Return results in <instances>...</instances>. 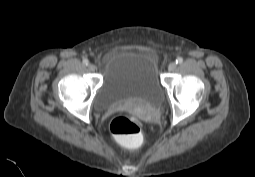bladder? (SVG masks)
I'll return each mask as SVG.
<instances>
[{
    "label": "bladder",
    "instance_id": "31cf9c89",
    "mask_svg": "<svg viewBox=\"0 0 255 177\" xmlns=\"http://www.w3.org/2000/svg\"><path fill=\"white\" fill-rule=\"evenodd\" d=\"M163 100L156 57L147 50H127L106 64L94 105L98 112H105L127 102L154 106Z\"/></svg>",
    "mask_w": 255,
    "mask_h": 177
}]
</instances>
